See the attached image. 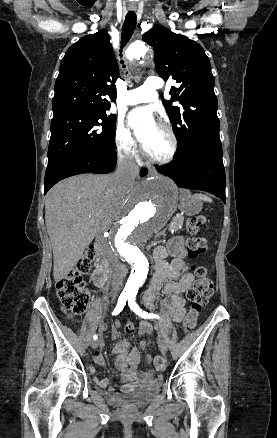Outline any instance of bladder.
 <instances>
[{"mask_svg":"<svg viewBox=\"0 0 277 438\" xmlns=\"http://www.w3.org/2000/svg\"><path fill=\"white\" fill-rule=\"evenodd\" d=\"M162 379L146 385L143 389L127 393L113 392L110 397L116 406L126 409H136L143 407L157 394L160 389Z\"/></svg>","mask_w":277,"mask_h":438,"instance_id":"obj_1","label":"bladder"}]
</instances>
